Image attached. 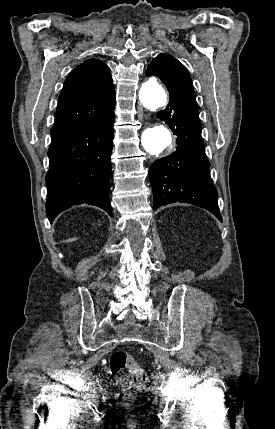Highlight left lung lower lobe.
<instances>
[{
  "label": "left lung lower lobe",
  "instance_id": "left-lung-lower-lobe-1",
  "mask_svg": "<svg viewBox=\"0 0 275 429\" xmlns=\"http://www.w3.org/2000/svg\"><path fill=\"white\" fill-rule=\"evenodd\" d=\"M169 95V104L157 117L177 136L178 146L174 153L156 160L149 169L153 209L175 202L190 203L207 209L222 221L201 137L195 95L188 89L173 90Z\"/></svg>",
  "mask_w": 275,
  "mask_h": 429
}]
</instances>
